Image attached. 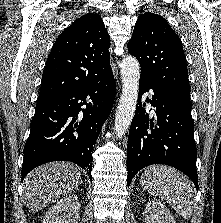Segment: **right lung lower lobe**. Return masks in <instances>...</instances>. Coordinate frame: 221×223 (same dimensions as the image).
I'll list each match as a JSON object with an SVG mask.
<instances>
[{
	"label": "right lung lower lobe",
	"instance_id": "1",
	"mask_svg": "<svg viewBox=\"0 0 221 223\" xmlns=\"http://www.w3.org/2000/svg\"><path fill=\"white\" fill-rule=\"evenodd\" d=\"M116 86L110 69L89 84L54 100L37 104L24 147L22 180L51 161H71L91 177L92 149L110 114Z\"/></svg>",
	"mask_w": 221,
	"mask_h": 223
}]
</instances>
